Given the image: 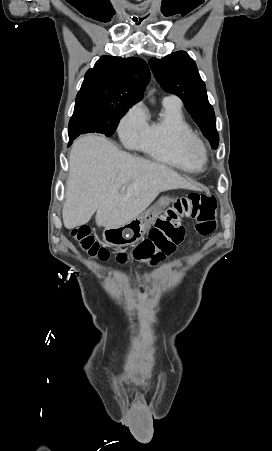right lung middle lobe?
Listing matches in <instances>:
<instances>
[{"instance_id":"obj_1","label":"right lung middle lobe","mask_w":272,"mask_h":451,"mask_svg":"<svg viewBox=\"0 0 272 451\" xmlns=\"http://www.w3.org/2000/svg\"><path fill=\"white\" fill-rule=\"evenodd\" d=\"M128 106L76 104L69 122V145L80 134L102 133L111 136Z\"/></svg>"}]
</instances>
